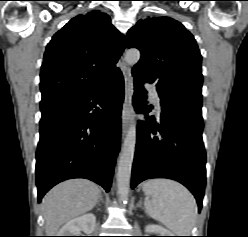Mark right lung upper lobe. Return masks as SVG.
<instances>
[{
  "instance_id": "cb5924a9",
  "label": "right lung upper lobe",
  "mask_w": 248,
  "mask_h": 237,
  "mask_svg": "<svg viewBox=\"0 0 248 237\" xmlns=\"http://www.w3.org/2000/svg\"><path fill=\"white\" fill-rule=\"evenodd\" d=\"M125 45L106 13L91 11L71 19L47 45L41 102L85 92L119 74L115 64Z\"/></svg>"
}]
</instances>
